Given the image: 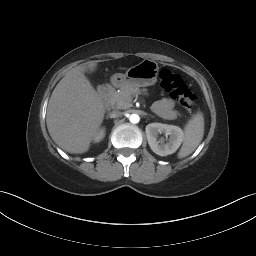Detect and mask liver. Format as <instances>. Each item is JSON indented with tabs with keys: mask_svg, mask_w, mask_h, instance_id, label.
<instances>
[{
	"mask_svg": "<svg viewBox=\"0 0 256 256\" xmlns=\"http://www.w3.org/2000/svg\"><path fill=\"white\" fill-rule=\"evenodd\" d=\"M97 63L88 62L66 73L49 99L46 123L53 141L64 151L82 154L99 130L105 114L103 102L85 76Z\"/></svg>",
	"mask_w": 256,
	"mask_h": 256,
	"instance_id": "6515ba94",
	"label": "liver"
}]
</instances>
